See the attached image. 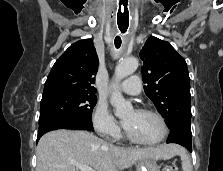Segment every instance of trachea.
I'll list each match as a JSON object with an SVG mask.
<instances>
[{
	"mask_svg": "<svg viewBox=\"0 0 223 171\" xmlns=\"http://www.w3.org/2000/svg\"><path fill=\"white\" fill-rule=\"evenodd\" d=\"M114 43H115V47L118 49L120 48L121 46V38L120 37H116L115 40H114Z\"/></svg>",
	"mask_w": 223,
	"mask_h": 171,
	"instance_id": "3493384b",
	"label": "trachea"
}]
</instances>
